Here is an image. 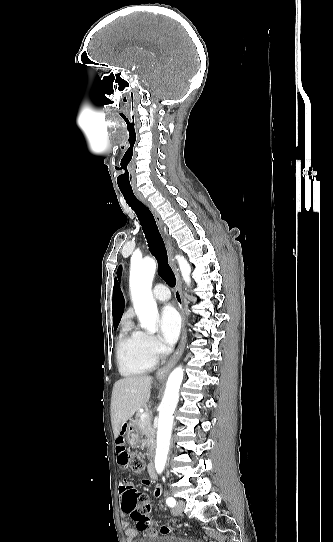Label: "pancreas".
<instances>
[{"label": "pancreas", "instance_id": "pancreas-1", "mask_svg": "<svg viewBox=\"0 0 333 542\" xmlns=\"http://www.w3.org/2000/svg\"><path fill=\"white\" fill-rule=\"evenodd\" d=\"M142 414H145V412H137V414H135L134 422L141 436H146L147 438L145 442V446L147 448L146 456H148V458H152L154 448H155V442H154L155 430L151 426L150 418H144V420H142L141 418ZM142 444H144V440H142Z\"/></svg>", "mask_w": 333, "mask_h": 542}]
</instances>
